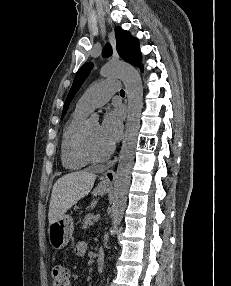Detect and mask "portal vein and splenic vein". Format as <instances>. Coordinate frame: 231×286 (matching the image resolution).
Wrapping results in <instances>:
<instances>
[{"mask_svg":"<svg viewBox=\"0 0 231 286\" xmlns=\"http://www.w3.org/2000/svg\"><path fill=\"white\" fill-rule=\"evenodd\" d=\"M99 218H100V215H99V214H96V215L94 216V219H93V220H94L95 222H97V221L99 220Z\"/></svg>","mask_w":231,"mask_h":286,"instance_id":"18ae733b","label":"portal vein and splenic vein"}]
</instances>
